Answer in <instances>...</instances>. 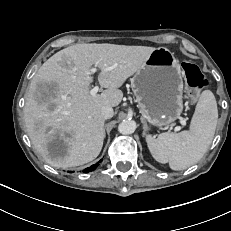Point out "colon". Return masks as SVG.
Instances as JSON below:
<instances>
[{"label": "colon", "instance_id": "5ec220e1", "mask_svg": "<svg viewBox=\"0 0 231 231\" xmlns=\"http://www.w3.org/2000/svg\"><path fill=\"white\" fill-rule=\"evenodd\" d=\"M182 70L186 77V83L192 92L203 89L208 81L198 66L190 62L182 63Z\"/></svg>", "mask_w": 231, "mask_h": 231}]
</instances>
